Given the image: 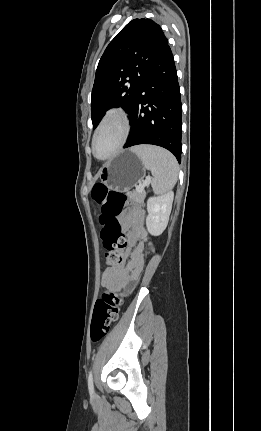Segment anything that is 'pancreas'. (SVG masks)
<instances>
[{"label":"pancreas","mask_w":261,"mask_h":431,"mask_svg":"<svg viewBox=\"0 0 261 431\" xmlns=\"http://www.w3.org/2000/svg\"><path fill=\"white\" fill-rule=\"evenodd\" d=\"M127 195L129 199L132 200L133 202L142 204L144 202L146 193L144 191L139 192L136 190L133 192H129Z\"/></svg>","instance_id":"1"}]
</instances>
